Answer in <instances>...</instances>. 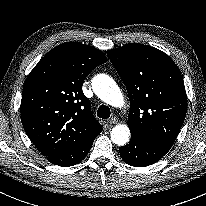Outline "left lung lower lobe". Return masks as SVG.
Returning <instances> with one entry per match:
<instances>
[{
    "label": "left lung lower lobe",
    "mask_w": 206,
    "mask_h": 206,
    "mask_svg": "<svg viewBox=\"0 0 206 206\" xmlns=\"http://www.w3.org/2000/svg\"><path fill=\"white\" fill-rule=\"evenodd\" d=\"M170 147L131 136L129 144L122 146L119 152L127 164L144 167L159 161L170 150Z\"/></svg>",
    "instance_id": "obj_1"
}]
</instances>
